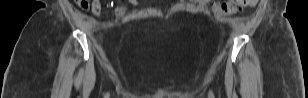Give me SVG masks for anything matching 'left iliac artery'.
<instances>
[{"instance_id":"1","label":"left iliac artery","mask_w":308,"mask_h":98,"mask_svg":"<svg viewBox=\"0 0 308 98\" xmlns=\"http://www.w3.org/2000/svg\"><path fill=\"white\" fill-rule=\"evenodd\" d=\"M209 98H214V94L212 91L209 92Z\"/></svg>"}]
</instances>
